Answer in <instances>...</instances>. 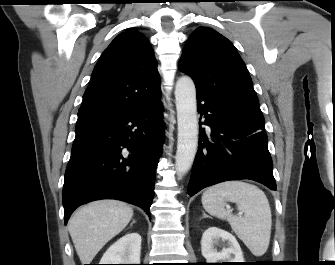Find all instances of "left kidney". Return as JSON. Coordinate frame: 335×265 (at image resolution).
Returning <instances> with one entry per match:
<instances>
[{"label":"left kidney","mask_w":335,"mask_h":265,"mask_svg":"<svg viewBox=\"0 0 335 265\" xmlns=\"http://www.w3.org/2000/svg\"><path fill=\"white\" fill-rule=\"evenodd\" d=\"M221 244L224 247L218 252L216 246ZM201 252L207 263L244 262L243 253L236 238L217 227H210L203 233Z\"/></svg>","instance_id":"1"}]
</instances>
